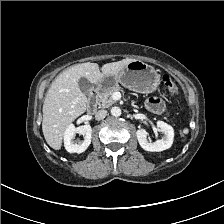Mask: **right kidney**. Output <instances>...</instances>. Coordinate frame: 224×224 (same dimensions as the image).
<instances>
[{"label": "right kidney", "mask_w": 224, "mask_h": 224, "mask_svg": "<svg viewBox=\"0 0 224 224\" xmlns=\"http://www.w3.org/2000/svg\"><path fill=\"white\" fill-rule=\"evenodd\" d=\"M76 133L82 134L84 136V140L82 142H74ZM91 134L92 128L90 125H82L76 128L73 124H70L64 133L65 149L70 153L84 152L91 144Z\"/></svg>", "instance_id": "obj_1"}]
</instances>
